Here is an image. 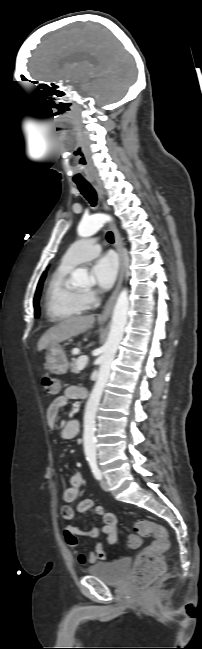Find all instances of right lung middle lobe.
<instances>
[{
  "instance_id": "1",
  "label": "right lung middle lobe",
  "mask_w": 202,
  "mask_h": 649,
  "mask_svg": "<svg viewBox=\"0 0 202 649\" xmlns=\"http://www.w3.org/2000/svg\"><path fill=\"white\" fill-rule=\"evenodd\" d=\"M45 277H46V273H44L41 276V278L39 280V283H38V286H37L35 297H34V307H35V317L36 318H38L39 314H40V309H39L38 303H39V297H40V294H41V290H42V286H43V282H44Z\"/></svg>"
}]
</instances>
